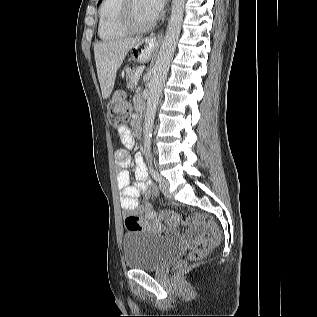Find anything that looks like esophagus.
I'll use <instances>...</instances> for the list:
<instances>
[{
	"instance_id": "esophagus-1",
	"label": "esophagus",
	"mask_w": 317,
	"mask_h": 317,
	"mask_svg": "<svg viewBox=\"0 0 317 317\" xmlns=\"http://www.w3.org/2000/svg\"><path fill=\"white\" fill-rule=\"evenodd\" d=\"M156 39L161 40L162 39V35H158L157 37L154 34H151L150 36L146 37L147 41H155Z\"/></svg>"
}]
</instances>
